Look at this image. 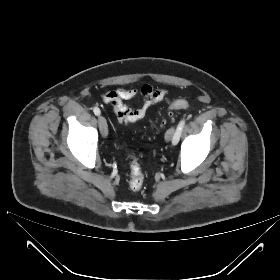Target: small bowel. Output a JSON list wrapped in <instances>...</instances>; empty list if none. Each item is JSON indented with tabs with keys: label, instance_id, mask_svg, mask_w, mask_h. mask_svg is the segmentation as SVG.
I'll return each mask as SVG.
<instances>
[{
	"label": "small bowel",
	"instance_id": "1",
	"mask_svg": "<svg viewBox=\"0 0 280 280\" xmlns=\"http://www.w3.org/2000/svg\"><path fill=\"white\" fill-rule=\"evenodd\" d=\"M168 95L165 88H156L151 84H143L138 89L121 88L108 91L102 95L104 103L110 105L120 124L128 125L145 118L148 111L157 103L162 102ZM141 99L138 107L130 106L127 102Z\"/></svg>",
	"mask_w": 280,
	"mask_h": 280
}]
</instances>
